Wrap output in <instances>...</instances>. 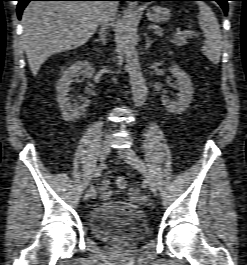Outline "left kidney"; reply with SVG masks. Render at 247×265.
Wrapping results in <instances>:
<instances>
[{"mask_svg": "<svg viewBox=\"0 0 247 265\" xmlns=\"http://www.w3.org/2000/svg\"><path fill=\"white\" fill-rule=\"evenodd\" d=\"M172 76L176 78L178 86V99L177 101L169 100L166 95L161 97L162 103L166 110L171 114H181L188 107L193 98L194 88L190 77L180 69L178 65H172L169 68Z\"/></svg>", "mask_w": 247, "mask_h": 265, "instance_id": "5707ae66", "label": "left kidney"}]
</instances>
